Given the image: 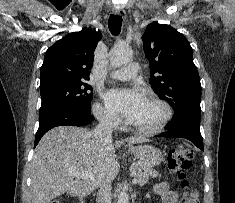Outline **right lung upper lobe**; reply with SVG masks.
Instances as JSON below:
<instances>
[{"label":"right lung upper lobe","mask_w":235,"mask_h":203,"mask_svg":"<svg viewBox=\"0 0 235 203\" xmlns=\"http://www.w3.org/2000/svg\"><path fill=\"white\" fill-rule=\"evenodd\" d=\"M101 33L84 29L58 40L45 53L40 85L55 81L88 80Z\"/></svg>","instance_id":"obj_1"}]
</instances>
